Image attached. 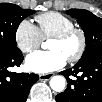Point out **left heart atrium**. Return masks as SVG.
Masks as SVG:
<instances>
[{
    "label": "left heart atrium",
    "mask_w": 102,
    "mask_h": 102,
    "mask_svg": "<svg viewBox=\"0 0 102 102\" xmlns=\"http://www.w3.org/2000/svg\"><path fill=\"white\" fill-rule=\"evenodd\" d=\"M67 59L58 51H34L27 56V67L36 73L47 74L63 68Z\"/></svg>",
    "instance_id": "1"
}]
</instances>
